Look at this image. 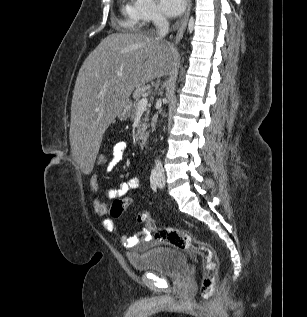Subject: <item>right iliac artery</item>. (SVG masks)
I'll return each instance as SVG.
<instances>
[{
	"label": "right iliac artery",
	"instance_id": "1",
	"mask_svg": "<svg viewBox=\"0 0 307 317\" xmlns=\"http://www.w3.org/2000/svg\"><path fill=\"white\" fill-rule=\"evenodd\" d=\"M150 185L154 192L157 191L158 186V172L156 169H153L150 176Z\"/></svg>",
	"mask_w": 307,
	"mask_h": 317
}]
</instances>
